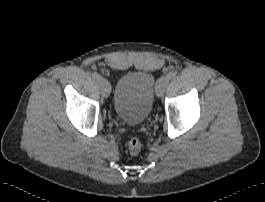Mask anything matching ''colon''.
<instances>
[{"mask_svg": "<svg viewBox=\"0 0 265 202\" xmlns=\"http://www.w3.org/2000/svg\"><path fill=\"white\" fill-rule=\"evenodd\" d=\"M141 142L138 138L133 137L128 141V150L131 154H137L141 150Z\"/></svg>", "mask_w": 265, "mask_h": 202, "instance_id": "obj_1", "label": "colon"}]
</instances>
